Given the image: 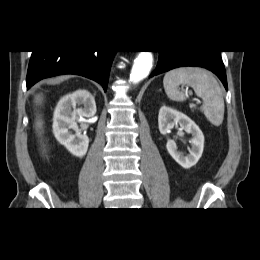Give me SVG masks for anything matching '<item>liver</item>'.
<instances>
[{
  "mask_svg": "<svg viewBox=\"0 0 260 260\" xmlns=\"http://www.w3.org/2000/svg\"><path fill=\"white\" fill-rule=\"evenodd\" d=\"M68 78H70V76H62V77L57 78L55 80V82H61V81H64V80H66ZM42 101H43V97L41 95H36L35 96L34 103L36 105H41ZM35 129H36L37 133L39 134V136H41L42 129H43V121H42V119L40 117L36 119Z\"/></svg>",
  "mask_w": 260,
  "mask_h": 260,
  "instance_id": "6515ba94",
  "label": "liver"
}]
</instances>
